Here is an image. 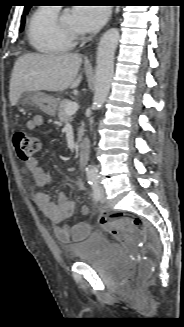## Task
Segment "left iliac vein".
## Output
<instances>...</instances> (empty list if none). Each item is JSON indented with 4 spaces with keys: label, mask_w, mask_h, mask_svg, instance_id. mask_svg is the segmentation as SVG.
Wrapping results in <instances>:
<instances>
[{
    "label": "left iliac vein",
    "mask_w": 184,
    "mask_h": 327,
    "mask_svg": "<svg viewBox=\"0 0 184 327\" xmlns=\"http://www.w3.org/2000/svg\"><path fill=\"white\" fill-rule=\"evenodd\" d=\"M99 191H100L99 201L104 203L106 201V194L104 188L102 186H99Z\"/></svg>",
    "instance_id": "left-iliac-vein-1"
}]
</instances>
